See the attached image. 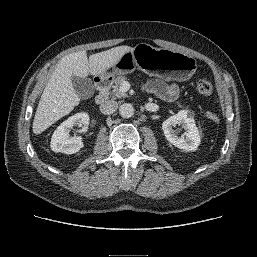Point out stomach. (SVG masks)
Returning a JSON list of instances; mask_svg holds the SVG:
<instances>
[{
  "label": "stomach",
  "mask_w": 257,
  "mask_h": 257,
  "mask_svg": "<svg viewBox=\"0 0 257 257\" xmlns=\"http://www.w3.org/2000/svg\"><path fill=\"white\" fill-rule=\"evenodd\" d=\"M135 69L151 76L185 81L195 73L197 61L181 52L139 43L114 64L111 73L106 72L101 76L125 75Z\"/></svg>",
  "instance_id": "1"
}]
</instances>
